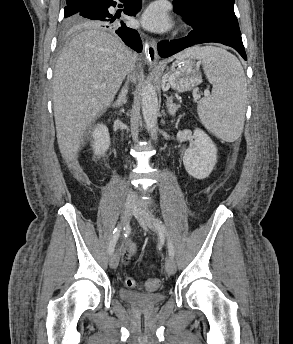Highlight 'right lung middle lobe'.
<instances>
[{
    "instance_id": "dd1d6c3e",
    "label": "right lung middle lobe",
    "mask_w": 293,
    "mask_h": 344,
    "mask_svg": "<svg viewBox=\"0 0 293 344\" xmlns=\"http://www.w3.org/2000/svg\"><path fill=\"white\" fill-rule=\"evenodd\" d=\"M83 3L67 5L65 7L64 17L66 20L64 21V31L69 32L81 27H95L98 26V23H94L89 21L83 17H81L78 12L81 10Z\"/></svg>"
}]
</instances>
